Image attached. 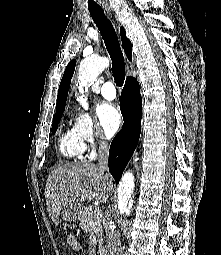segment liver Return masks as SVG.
I'll use <instances>...</instances> for the list:
<instances>
[{
    "label": "liver",
    "instance_id": "6515ba94",
    "mask_svg": "<svg viewBox=\"0 0 221 255\" xmlns=\"http://www.w3.org/2000/svg\"><path fill=\"white\" fill-rule=\"evenodd\" d=\"M113 185L109 174L90 162H76L51 171L45 187L48 212L55 225L61 211L71 203L89 202L93 199L106 203Z\"/></svg>",
    "mask_w": 221,
    "mask_h": 255
}]
</instances>
